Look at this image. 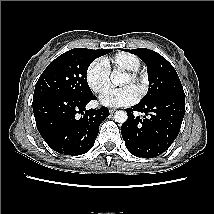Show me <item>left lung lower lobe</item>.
I'll return each mask as SVG.
<instances>
[{"label": "left lung lower lobe", "instance_id": "left-lung-lower-lobe-1", "mask_svg": "<svg viewBox=\"0 0 214 214\" xmlns=\"http://www.w3.org/2000/svg\"><path fill=\"white\" fill-rule=\"evenodd\" d=\"M128 120L121 133L126 148L134 156L153 158L164 153L178 136L185 114V97L167 96L126 110ZM134 111L145 113L135 117Z\"/></svg>", "mask_w": 214, "mask_h": 214}]
</instances>
